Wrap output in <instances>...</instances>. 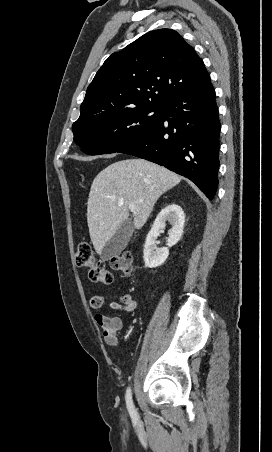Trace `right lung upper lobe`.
Returning a JSON list of instances; mask_svg holds the SVG:
<instances>
[{
	"label": "right lung upper lobe",
	"mask_w": 272,
	"mask_h": 452,
	"mask_svg": "<svg viewBox=\"0 0 272 452\" xmlns=\"http://www.w3.org/2000/svg\"><path fill=\"white\" fill-rule=\"evenodd\" d=\"M209 79L182 36L154 30L106 59L87 88L78 120L143 105L162 107Z\"/></svg>",
	"instance_id": "right-lung-upper-lobe-1"
}]
</instances>
